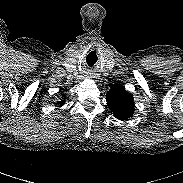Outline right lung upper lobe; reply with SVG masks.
<instances>
[{"label":"right lung upper lobe","mask_w":183,"mask_h":183,"mask_svg":"<svg viewBox=\"0 0 183 183\" xmlns=\"http://www.w3.org/2000/svg\"><path fill=\"white\" fill-rule=\"evenodd\" d=\"M64 98H65V95H62ZM64 102H65V100H63V101H59L58 103H60V105H63L64 104Z\"/></svg>","instance_id":"1"}]
</instances>
